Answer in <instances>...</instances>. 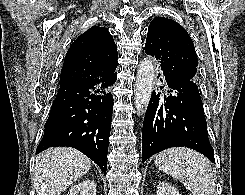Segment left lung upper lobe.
<instances>
[{"instance_id":"1","label":"left lung upper lobe","mask_w":245,"mask_h":195,"mask_svg":"<svg viewBox=\"0 0 245 195\" xmlns=\"http://www.w3.org/2000/svg\"><path fill=\"white\" fill-rule=\"evenodd\" d=\"M144 49L146 54L156 57L162 72L170 78L198 83L195 78L198 59L194 44L187 31L174 20L154 18Z\"/></svg>"}]
</instances>
